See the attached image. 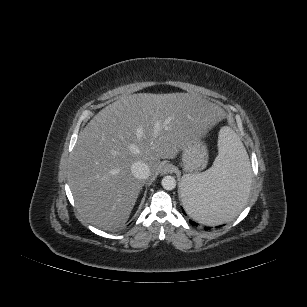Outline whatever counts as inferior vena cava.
<instances>
[{"label":"inferior vena cava","mask_w":307,"mask_h":307,"mask_svg":"<svg viewBox=\"0 0 307 307\" xmlns=\"http://www.w3.org/2000/svg\"><path fill=\"white\" fill-rule=\"evenodd\" d=\"M131 172L138 179H147L150 175V168L143 161H136L131 165Z\"/></svg>","instance_id":"602c4592"}]
</instances>
